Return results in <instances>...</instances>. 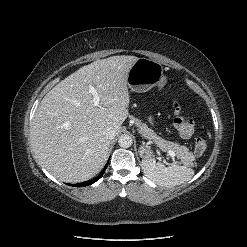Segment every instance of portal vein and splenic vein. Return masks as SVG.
<instances>
[{
    "label": "portal vein and splenic vein",
    "mask_w": 247,
    "mask_h": 247,
    "mask_svg": "<svg viewBox=\"0 0 247 247\" xmlns=\"http://www.w3.org/2000/svg\"><path fill=\"white\" fill-rule=\"evenodd\" d=\"M89 92L93 95V104L94 106H99L100 97L97 93V90L94 88V86L89 85ZM168 155L172 157V159L175 158L176 154L172 150H168Z\"/></svg>",
    "instance_id": "18ae733b"
}]
</instances>
